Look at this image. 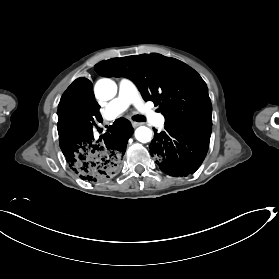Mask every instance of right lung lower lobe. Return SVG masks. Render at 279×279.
<instances>
[{
    "mask_svg": "<svg viewBox=\"0 0 279 279\" xmlns=\"http://www.w3.org/2000/svg\"><path fill=\"white\" fill-rule=\"evenodd\" d=\"M57 114L60 148L71 170L88 182L113 178L121 168L132 133L130 122L125 118L117 119L108 132L95 138L93 120H101V116L93 85L86 78H79L68 87Z\"/></svg>",
    "mask_w": 279,
    "mask_h": 279,
    "instance_id": "98d812e1",
    "label": "right lung lower lobe"
}]
</instances>
